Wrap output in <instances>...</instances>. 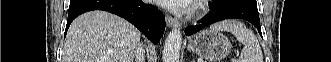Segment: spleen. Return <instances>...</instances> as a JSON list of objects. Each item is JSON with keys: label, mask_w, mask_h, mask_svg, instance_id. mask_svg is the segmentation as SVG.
<instances>
[{"label": "spleen", "mask_w": 331, "mask_h": 62, "mask_svg": "<svg viewBox=\"0 0 331 62\" xmlns=\"http://www.w3.org/2000/svg\"><path fill=\"white\" fill-rule=\"evenodd\" d=\"M210 30L230 32L244 45L238 62H263V54L258 40L245 24L236 20H225L212 25Z\"/></svg>", "instance_id": "spleen-1"}]
</instances>
